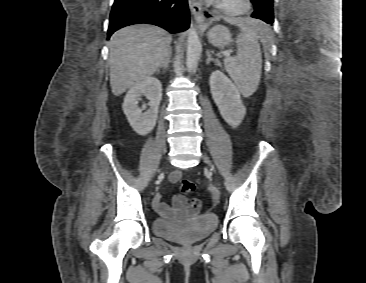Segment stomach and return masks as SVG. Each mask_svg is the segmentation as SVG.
Returning a JSON list of instances; mask_svg holds the SVG:
<instances>
[{"mask_svg":"<svg viewBox=\"0 0 366 283\" xmlns=\"http://www.w3.org/2000/svg\"><path fill=\"white\" fill-rule=\"evenodd\" d=\"M208 41L216 47H225L232 41L229 30L224 26L213 27L207 34Z\"/></svg>","mask_w":366,"mask_h":283,"instance_id":"1","label":"stomach"}]
</instances>
